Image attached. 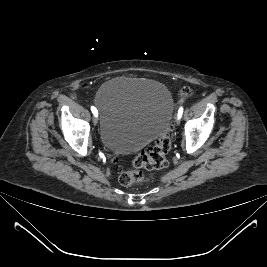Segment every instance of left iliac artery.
<instances>
[{"label": "left iliac artery", "mask_w": 267, "mask_h": 267, "mask_svg": "<svg viewBox=\"0 0 267 267\" xmlns=\"http://www.w3.org/2000/svg\"><path fill=\"white\" fill-rule=\"evenodd\" d=\"M182 114H183V108L181 107L178 110V117L181 118Z\"/></svg>", "instance_id": "obj_1"}]
</instances>
